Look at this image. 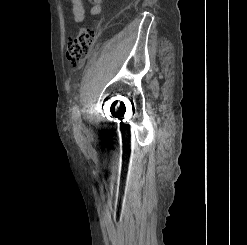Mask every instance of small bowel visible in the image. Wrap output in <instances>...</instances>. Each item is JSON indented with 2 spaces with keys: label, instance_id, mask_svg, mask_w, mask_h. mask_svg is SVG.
Masks as SVG:
<instances>
[{
  "label": "small bowel",
  "instance_id": "1",
  "mask_svg": "<svg viewBox=\"0 0 247 245\" xmlns=\"http://www.w3.org/2000/svg\"><path fill=\"white\" fill-rule=\"evenodd\" d=\"M71 3V11L73 19L76 23H81L85 20V9L82 0H69ZM91 4L89 14L97 16L102 10V0H88Z\"/></svg>",
  "mask_w": 247,
  "mask_h": 245
}]
</instances>
